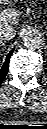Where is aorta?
I'll use <instances>...</instances> for the list:
<instances>
[{
	"label": "aorta",
	"mask_w": 47,
	"mask_h": 129,
	"mask_svg": "<svg viewBox=\"0 0 47 129\" xmlns=\"http://www.w3.org/2000/svg\"><path fill=\"white\" fill-rule=\"evenodd\" d=\"M23 44L28 49H39L44 46L45 39L39 31L29 30L23 35Z\"/></svg>",
	"instance_id": "aorta-1"
}]
</instances>
